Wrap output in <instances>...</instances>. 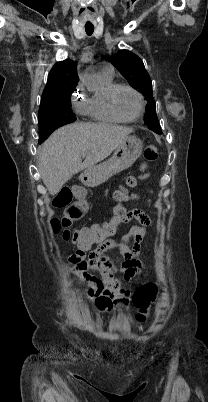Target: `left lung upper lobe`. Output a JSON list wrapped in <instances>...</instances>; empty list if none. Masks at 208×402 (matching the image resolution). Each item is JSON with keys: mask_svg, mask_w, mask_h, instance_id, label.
Segmentation results:
<instances>
[{"mask_svg": "<svg viewBox=\"0 0 208 402\" xmlns=\"http://www.w3.org/2000/svg\"><path fill=\"white\" fill-rule=\"evenodd\" d=\"M113 66L135 88L139 89L148 101L146 123L149 129L161 134V127L156 115V103L152 94V81L143 61L128 50H120L111 60Z\"/></svg>", "mask_w": 208, "mask_h": 402, "instance_id": "obj_1", "label": "left lung upper lobe"}]
</instances>
